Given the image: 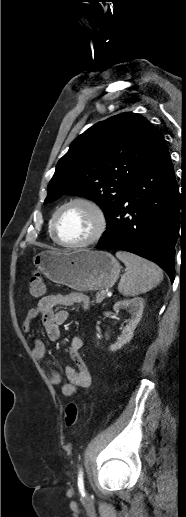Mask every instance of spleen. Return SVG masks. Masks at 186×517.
<instances>
[{"label":"spleen","mask_w":186,"mask_h":517,"mask_svg":"<svg viewBox=\"0 0 186 517\" xmlns=\"http://www.w3.org/2000/svg\"><path fill=\"white\" fill-rule=\"evenodd\" d=\"M116 257L126 266L118 290L123 296H137L156 287L163 280L162 270L154 263L132 253L118 251Z\"/></svg>","instance_id":"obj_1"}]
</instances>
